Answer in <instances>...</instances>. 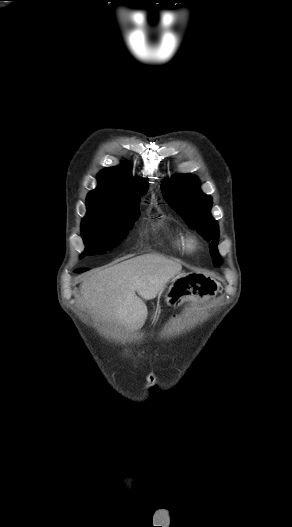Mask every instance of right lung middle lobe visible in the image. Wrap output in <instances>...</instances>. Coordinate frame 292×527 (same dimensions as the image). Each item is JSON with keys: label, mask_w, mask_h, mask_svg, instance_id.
<instances>
[{"label": "right lung middle lobe", "mask_w": 292, "mask_h": 527, "mask_svg": "<svg viewBox=\"0 0 292 527\" xmlns=\"http://www.w3.org/2000/svg\"><path fill=\"white\" fill-rule=\"evenodd\" d=\"M138 214V204L121 205L88 197L87 215L81 223L86 245L82 257L111 250L133 227Z\"/></svg>", "instance_id": "1"}]
</instances>
